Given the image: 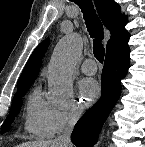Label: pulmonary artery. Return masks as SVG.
<instances>
[{"label": "pulmonary artery", "mask_w": 145, "mask_h": 147, "mask_svg": "<svg viewBox=\"0 0 145 147\" xmlns=\"http://www.w3.org/2000/svg\"><path fill=\"white\" fill-rule=\"evenodd\" d=\"M81 70L87 75H94L97 72V66L92 59H87L81 64Z\"/></svg>", "instance_id": "obj_1"}]
</instances>
